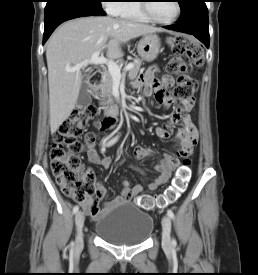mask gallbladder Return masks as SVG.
I'll use <instances>...</instances> for the list:
<instances>
[{"label": "gallbladder", "mask_w": 258, "mask_h": 275, "mask_svg": "<svg viewBox=\"0 0 258 275\" xmlns=\"http://www.w3.org/2000/svg\"><path fill=\"white\" fill-rule=\"evenodd\" d=\"M92 102L91 95L86 83V77L83 79L76 106L80 109H86Z\"/></svg>", "instance_id": "1"}]
</instances>
